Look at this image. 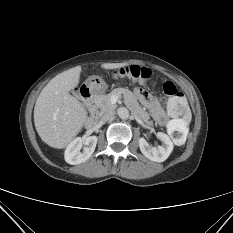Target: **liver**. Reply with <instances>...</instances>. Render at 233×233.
Returning <instances> with one entry per match:
<instances>
[{
  "instance_id": "obj_1",
  "label": "liver",
  "mask_w": 233,
  "mask_h": 233,
  "mask_svg": "<svg viewBox=\"0 0 233 233\" xmlns=\"http://www.w3.org/2000/svg\"><path fill=\"white\" fill-rule=\"evenodd\" d=\"M127 63H103V69H118ZM81 66L64 71L43 88L34 107V124L41 140L53 148H65L87 120L83 104L70 95L80 80Z\"/></svg>"
}]
</instances>
